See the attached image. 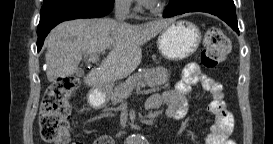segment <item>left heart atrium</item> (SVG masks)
Wrapping results in <instances>:
<instances>
[{
  "mask_svg": "<svg viewBox=\"0 0 273 144\" xmlns=\"http://www.w3.org/2000/svg\"><path fill=\"white\" fill-rule=\"evenodd\" d=\"M141 2L148 7H151L155 4L156 0H141Z\"/></svg>",
  "mask_w": 273,
  "mask_h": 144,
  "instance_id": "left-heart-atrium-1",
  "label": "left heart atrium"
}]
</instances>
